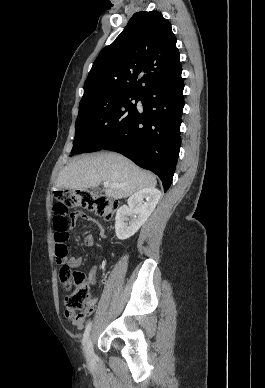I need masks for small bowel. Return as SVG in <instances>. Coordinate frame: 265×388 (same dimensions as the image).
<instances>
[{
	"label": "small bowel",
	"mask_w": 265,
	"mask_h": 388,
	"mask_svg": "<svg viewBox=\"0 0 265 388\" xmlns=\"http://www.w3.org/2000/svg\"><path fill=\"white\" fill-rule=\"evenodd\" d=\"M79 217H83L85 219H88V220H91V218L86 215L85 213H81V212H74L71 214V220L73 222H75ZM99 234L101 237H105V231L103 229H100L99 231ZM83 244L87 247H91L95 244V238L91 235H87L83 238ZM68 264L69 266L71 267H77L81 264V259L79 258H76V257H72L69 259L68 261ZM97 271H98V265H94L93 267H91V269L89 270V273H88V277H87V283L90 284V285H94L96 283V274H97ZM103 284L105 285V282H103ZM99 300V296H95L90 304L86 307L85 311H84V316H87V315H90L93 310H94V307H95V304L96 302ZM84 325V320L83 318L76 324V326L78 328H82Z\"/></svg>",
	"instance_id": "small-bowel-1"
}]
</instances>
